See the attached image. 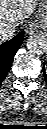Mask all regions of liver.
Here are the masks:
<instances>
[{"label":"liver","instance_id":"liver-1","mask_svg":"<svg viewBox=\"0 0 47 129\" xmlns=\"http://www.w3.org/2000/svg\"><path fill=\"white\" fill-rule=\"evenodd\" d=\"M36 5L37 0H0V29L16 27L34 13Z\"/></svg>","mask_w":47,"mask_h":129}]
</instances>
